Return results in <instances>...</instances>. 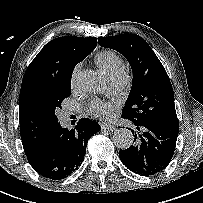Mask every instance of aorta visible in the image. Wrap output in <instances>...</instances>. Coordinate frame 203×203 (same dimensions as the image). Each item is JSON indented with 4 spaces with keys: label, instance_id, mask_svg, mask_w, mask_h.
<instances>
[{
    "label": "aorta",
    "instance_id": "762f6f07",
    "mask_svg": "<svg viewBox=\"0 0 203 203\" xmlns=\"http://www.w3.org/2000/svg\"><path fill=\"white\" fill-rule=\"evenodd\" d=\"M78 87L85 92H98L101 88V78L93 70H84L77 80ZM133 134L126 128L114 132L113 142L119 149H127L133 144Z\"/></svg>",
    "mask_w": 203,
    "mask_h": 203
}]
</instances>
